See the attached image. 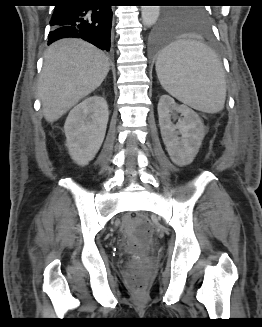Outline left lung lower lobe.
Instances as JSON below:
<instances>
[{"label": "left lung lower lobe", "mask_w": 262, "mask_h": 327, "mask_svg": "<svg viewBox=\"0 0 262 327\" xmlns=\"http://www.w3.org/2000/svg\"><path fill=\"white\" fill-rule=\"evenodd\" d=\"M174 26L162 20L151 32L148 39V48L150 52H162L171 44L174 39ZM203 32L208 33V27L203 28Z\"/></svg>", "instance_id": "0a47b994"}]
</instances>
